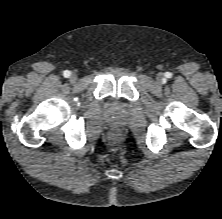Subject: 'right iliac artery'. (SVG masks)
Returning <instances> with one entry per match:
<instances>
[{"label": "right iliac artery", "mask_w": 222, "mask_h": 219, "mask_svg": "<svg viewBox=\"0 0 222 219\" xmlns=\"http://www.w3.org/2000/svg\"><path fill=\"white\" fill-rule=\"evenodd\" d=\"M70 71H68V70H65L64 72H63V75H64V77H66V78H68L69 76H70Z\"/></svg>", "instance_id": "82829eb1"}]
</instances>
